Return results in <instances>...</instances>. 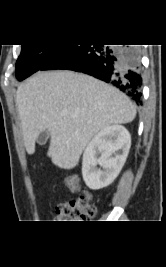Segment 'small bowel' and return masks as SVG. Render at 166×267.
<instances>
[{"mask_svg":"<svg viewBox=\"0 0 166 267\" xmlns=\"http://www.w3.org/2000/svg\"><path fill=\"white\" fill-rule=\"evenodd\" d=\"M66 184L67 186L69 187V189L72 191V192H75L77 191V187L74 185V183L69 179H67L66 181Z\"/></svg>","mask_w":166,"mask_h":267,"instance_id":"obj_1","label":"small bowel"}]
</instances>
